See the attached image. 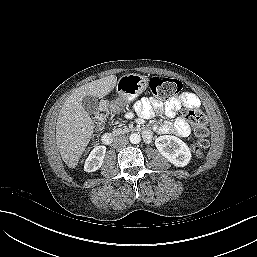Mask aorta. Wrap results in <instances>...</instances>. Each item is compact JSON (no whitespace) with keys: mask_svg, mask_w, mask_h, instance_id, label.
Returning a JSON list of instances; mask_svg holds the SVG:
<instances>
[{"mask_svg":"<svg viewBox=\"0 0 257 257\" xmlns=\"http://www.w3.org/2000/svg\"><path fill=\"white\" fill-rule=\"evenodd\" d=\"M129 139H130V142H131L132 144H138V143H140V141H141L140 134H138V133H132V134L130 135Z\"/></svg>","mask_w":257,"mask_h":257,"instance_id":"1","label":"aorta"}]
</instances>
